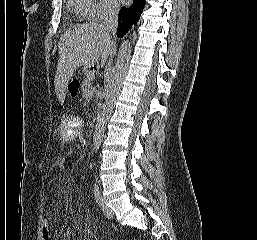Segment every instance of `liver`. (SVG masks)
I'll return each mask as SVG.
<instances>
[{
    "mask_svg": "<svg viewBox=\"0 0 257 240\" xmlns=\"http://www.w3.org/2000/svg\"><path fill=\"white\" fill-rule=\"evenodd\" d=\"M59 59L54 86L57 98L64 103L66 87L74 71L85 66H93L101 58V67L114 50L115 43L111 36L101 29L100 24L78 25L60 37L58 44Z\"/></svg>",
    "mask_w": 257,
    "mask_h": 240,
    "instance_id": "6515ba94",
    "label": "liver"
}]
</instances>
